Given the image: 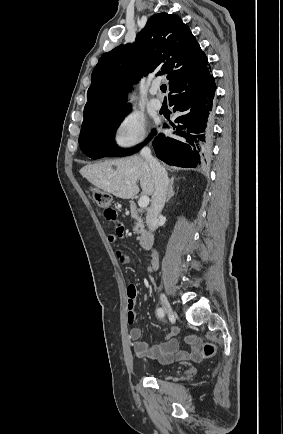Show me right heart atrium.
<instances>
[{"instance_id": "d8ad5b80", "label": "right heart atrium", "mask_w": 283, "mask_h": 434, "mask_svg": "<svg viewBox=\"0 0 283 434\" xmlns=\"http://www.w3.org/2000/svg\"><path fill=\"white\" fill-rule=\"evenodd\" d=\"M146 138V120L139 112L128 110L118 118L114 128V141L118 148L123 150L134 148Z\"/></svg>"}]
</instances>
